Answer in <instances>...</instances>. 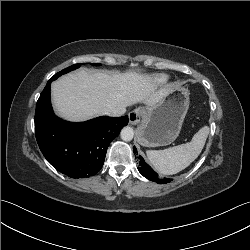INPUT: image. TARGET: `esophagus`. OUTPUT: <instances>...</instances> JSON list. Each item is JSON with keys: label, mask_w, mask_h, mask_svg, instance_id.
<instances>
[{"label": "esophagus", "mask_w": 250, "mask_h": 250, "mask_svg": "<svg viewBox=\"0 0 250 250\" xmlns=\"http://www.w3.org/2000/svg\"><path fill=\"white\" fill-rule=\"evenodd\" d=\"M144 113V110L142 108H136L134 109L133 111H131L129 113V122L132 124V125H136L140 122L141 120V117Z\"/></svg>", "instance_id": "obj_1"}]
</instances>
